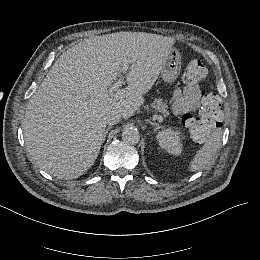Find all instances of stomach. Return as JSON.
I'll return each instance as SVG.
<instances>
[{
  "instance_id": "stomach-1",
  "label": "stomach",
  "mask_w": 260,
  "mask_h": 260,
  "mask_svg": "<svg viewBox=\"0 0 260 260\" xmlns=\"http://www.w3.org/2000/svg\"><path fill=\"white\" fill-rule=\"evenodd\" d=\"M183 60V53L179 49H172L168 53V60L161 72V78L166 84H173L180 74V62Z\"/></svg>"
}]
</instances>
